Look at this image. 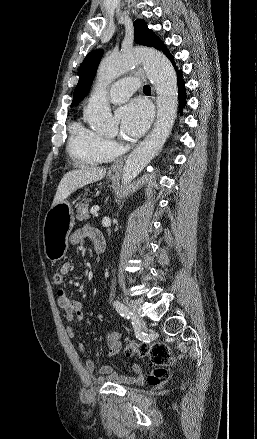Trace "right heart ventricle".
<instances>
[{
    "mask_svg": "<svg viewBox=\"0 0 257 439\" xmlns=\"http://www.w3.org/2000/svg\"><path fill=\"white\" fill-rule=\"evenodd\" d=\"M101 136L80 123L70 128L68 151L73 160L82 166H96L105 161L100 150Z\"/></svg>",
    "mask_w": 257,
    "mask_h": 439,
    "instance_id": "obj_1",
    "label": "right heart ventricle"
}]
</instances>
